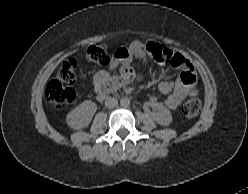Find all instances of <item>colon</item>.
Wrapping results in <instances>:
<instances>
[{
	"label": "colon",
	"instance_id": "colon-1",
	"mask_svg": "<svg viewBox=\"0 0 248 194\" xmlns=\"http://www.w3.org/2000/svg\"><path fill=\"white\" fill-rule=\"evenodd\" d=\"M152 58L163 63L170 61L173 53L168 49L158 46L149 47ZM87 59L101 67L109 66L111 55L105 43H99L90 46L87 49ZM78 61L74 58L68 59L62 63L54 79H52L46 88V98L58 109L69 107L76 99V93L70 84L76 79L78 74ZM201 109V101L197 93H192L182 106V112L187 118L196 117Z\"/></svg>",
	"mask_w": 248,
	"mask_h": 194
}]
</instances>
